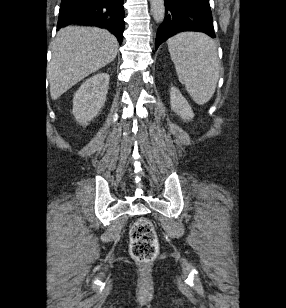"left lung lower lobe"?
<instances>
[{"mask_svg": "<svg viewBox=\"0 0 286 308\" xmlns=\"http://www.w3.org/2000/svg\"><path fill=\"white\" fill-rule=\"evenodd\" d=\"M165 18L156 36V50L169 37L182 31L203 32L215 37L209 0H164Z\"/></svg>", "mask_w": 286, "mask_h": 308, "instance_id": "0a47b994", "label": "left lung lower lobe"}]
</instances>
